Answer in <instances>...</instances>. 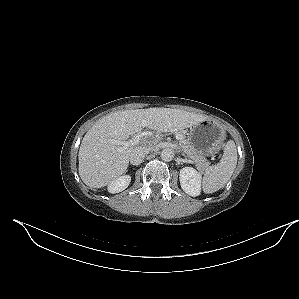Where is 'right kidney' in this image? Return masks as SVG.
<instances>
[{
  "instance_id": "ca27d5eb",
  "label": "right kidney",
  "mask_w": 299,
  "mask_h": 299,
  "mask_svg": "<svg viewBox=\"0 0 299 299\" xmlns=\"http://www.w3.org/2000/svg\"><path fill=\"white\" fill-rule=\"evenodd\" d=\"M131 181L130 175H123L108 184V192L114 194L125 190Z\"/></svg>"
}]
</instances>
